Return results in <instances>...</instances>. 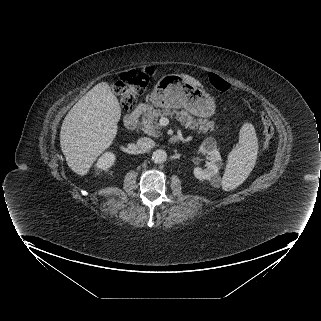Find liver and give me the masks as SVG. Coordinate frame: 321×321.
<instances>
[{"mask_svg":"<svg viewBox=\"0 0 321 321\" xmlns=\"http://www.w3.org/2000/svg\"><path fill=\"white\" fill-rule=\"evenodd\" d=\"M187 82L201 86L189 75ZM121 107L106 82L95 85L68 112L61 126L60 146L70 169L87 174L97 157L113 142Z\"/></svg>","mask_w":321,"mask_h":321,"instance_id":"1","label":"liver"}]
</instances>
